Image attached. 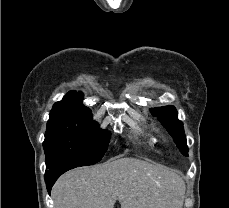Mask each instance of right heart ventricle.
<instances>
[{
    "label": "right heart ventricle",
    "mask_w": 229,
    "mask_h": 208,
    "mask_svg": "<svg viewBox=\"0 0 229 208\" xmlns=\"http://www.w3.org/2000/svg\"><path fill=\"white\" fill-rule=\"evenodd\" d=\"M149 143H150V145L155 146L158 143V140L156 137L150 136L149 137Z\"/></svg>",
    "instance_id": "right-heart-ventricle-1"
}]
</instances>
